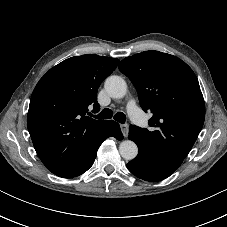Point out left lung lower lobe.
<instances>
[{"label":"left lung lower lobe","mask_w":227,"mask_h":227,"mask_svg":"<svg viewBox=\"0 0 227 227\" xmlns=\"http://www.w3.org/2000/svg\"><path fill=\"white\" fill-rule=\"evenodd\" d=\"M128 138L139 148L138 157L127 164L128 170L138 178L150 182L160 181L169 177L182 164L181 160L162 155L143 144L138 131L132 125L129 127Z\"/></svg>","instance_id":"left-lung-lower-lobe-1"}]
</instances>
